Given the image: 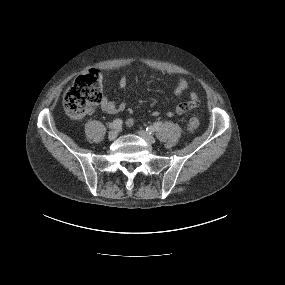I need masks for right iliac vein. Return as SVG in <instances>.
<instances>
[{"label":"right iliac vein","instance_id":"right-iliac-vein-1","mask_svg":"<svg viewBox=\"0 0 285 285\" xmlns=\"http://www.w3.org/2000/svg\"><path fill=\"white\" fill-rule=\"evenodd\" d=\"M117 136H118V132L116 130H113V131L109 132L108 139L113 141L117 138Z\"/></svg>","mask_w":285,"mask_h":285}]
</instances>
